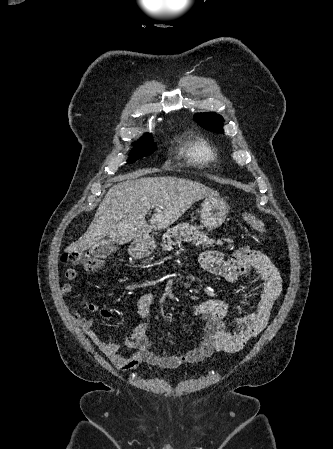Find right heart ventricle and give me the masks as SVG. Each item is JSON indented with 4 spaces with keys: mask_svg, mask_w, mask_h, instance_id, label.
I'll list each match as a JSON object with an SVG mask.
<instances>
[{
    "mask_svg": "<svg viewBox=\"0 0 333 449\" xmlns=\"http://www.w3.org/2000/svg\"><path fill=\"white\" fill-rule=\"evenodd\" d=\"M179 151L188 160L199 164H208L215 158L212 147L206 141L198 138L183 140Z\"/></svg>",
    "mask_w": 333,
    "mask_h": 449,
    "instance_id": "right-heart-ventricle-1",
    "label": "right heart ventricle"
}]
</instances>
